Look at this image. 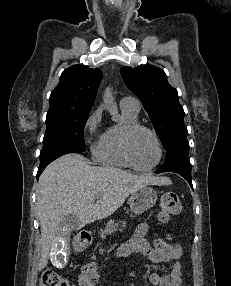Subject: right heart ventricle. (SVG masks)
<instances>
[{"instance_id": "e07e8e85", "label": "right heart ventricle", "mask_w": 231, "mask_h": 286, "mask_svg": "<svg viewBox=\"0 0 231 286\" xmlns=\"http://www.w3.org/2000/svg\"><path fill=\"white\" fill-rule=\"evenodd\" d=\"M121 112V122L108 127L102 133L93 149V155L103 165L130 168L131 166L122 151V135L127 126L138 123V113L123 108H121Z\"/></svg>"}]
</instances>
